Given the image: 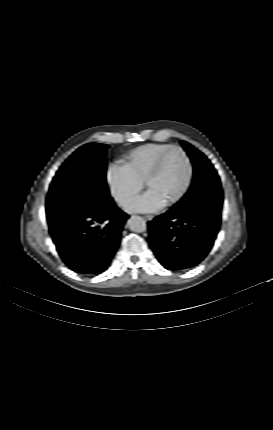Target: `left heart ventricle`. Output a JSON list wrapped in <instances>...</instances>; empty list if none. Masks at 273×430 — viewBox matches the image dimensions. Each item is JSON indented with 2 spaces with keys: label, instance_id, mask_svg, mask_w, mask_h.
I'll return each mask as SVG.
<instances>
[{
  "label": "left heart ventricle",
  "instance_id": "obj_1",
  "mask_svg": "<svg viewBox=\"0 0 273 430\" xmlns=\"http://www.w3.org/2000/svg\"><path fill=\"white\" fill-rule=\"evenodd\" d=\"M187 178V166L183 156L177 152H170L165 158L160 174L148 185L165 204L182 189Z\"/></svg>",
  "mask_w": 273,
  "mask_h": 430
}]
</instances>
